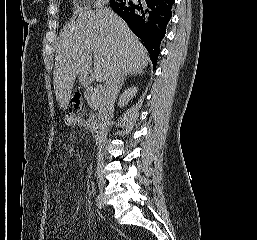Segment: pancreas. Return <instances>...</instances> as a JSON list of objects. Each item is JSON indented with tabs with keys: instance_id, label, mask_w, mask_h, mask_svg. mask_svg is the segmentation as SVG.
<instances>
[{
	"instance_id": "1",
	"label": "pancreas",
	"mask_w": 257,
	"mask_h": 240,
	"mask_svg": "<svg viewBox=\"0 0 257 240\" xmlns=\"http://www.w3.org/2000/svg\"><path fill=\"white\" fill-rule=\"evenodd\" d=\"M84 97L91 107L101 106L102 95L99 92L96 93L93 87L91 86L85 87Z\"/></svg>"
}]
</instances>
